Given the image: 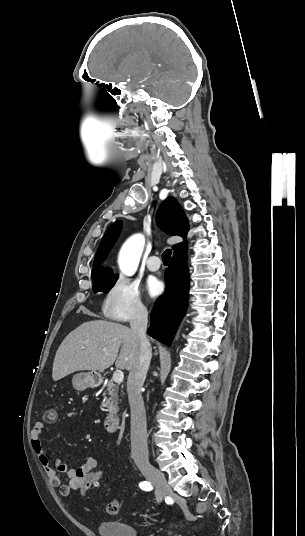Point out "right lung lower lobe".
<instances>
[{"instance_id": "right-lung-lower-lobe-1", "label": "right lung lower lobe", "mask_w": 305, "mask_h": 536, "mask_svg": "<svg viewBox=\"0 0 305 536\" xmlns=\"http://www.w3.org/2000/svg\"><path fill=\"white\" fill-rule=\"evenodd\" d=\"M165 293L151 312L147 332L160 342L170 345L185 314L189 292L187 253L174 255L165 271Z\"/></svg>"}]
</instances>
